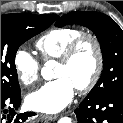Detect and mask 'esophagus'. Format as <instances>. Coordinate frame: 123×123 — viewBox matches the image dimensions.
I'll return each instance as SVG.
<instances>
[{"mask_svg":"<svg viewBox=\"0 0 123 123\" xmlns=\"http://www.w3.org/2000/svg\"><path fill=\"white\" fill-rule=\"evenodd\" d=\"M42 117L45 120H49V121H54L58 118V115H48V114H42Z\"/></svg>","mask_w":123,"mask_h":123,"instance_id":"obj_1","label":"esophagus"}]
</instances>
